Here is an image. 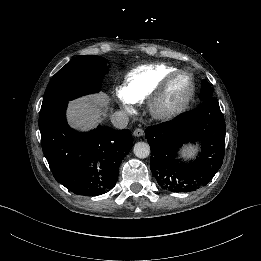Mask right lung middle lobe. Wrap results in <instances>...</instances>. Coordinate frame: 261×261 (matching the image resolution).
I'll return each mask as SVG.
<instances>
[{
    "instance_id": "1",
    "label": "right lung middle lobe",
    "mask_w": 261,
    "mask_h": 261,
    "mask_svg": "<svg viewBox=\"0 0 261 261\" xmlns=\"http://www.w3.org/2000/svg\"><path fill=\"white\" fill-rule=\"evenodd\" d=\"M107 62L96 55L73 58L50 80L41 108L98 92L103 77L108 73Z\"/></svg>"
}]
</instances>
